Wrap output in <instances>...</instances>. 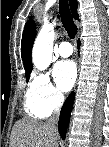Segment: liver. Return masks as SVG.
<instances>
[{
	"label": "liver",
	"mask_w": 109,
	"mask_h": 147,
	"mask_svg": "<svg viewBox=\"0 0 109 147\" xmlns=\"http://www.w3.org/2000/svg\"><path fill=\"white\" fill-rule=\"evenodd\" d=\"M58 140L47 123L23 117L12 129L9 147H56Z\"/></svg>",
	"instance_id": "liver-1"
}]
</instances>
